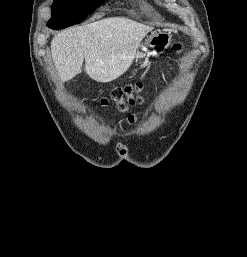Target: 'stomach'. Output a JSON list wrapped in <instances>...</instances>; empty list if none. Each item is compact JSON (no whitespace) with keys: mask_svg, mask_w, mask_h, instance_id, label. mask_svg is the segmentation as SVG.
I'll list each match as a JSON object with an SVG mask.
<instances>
[{"mask_svg":"<svg viewBox=\"0 0 247 257\" xmlns=\"http://www.w3.org/2000/svg\"><path fill=\"white\" fill-rule=\"evenodd\" d=\"M172 36L166 32L154 33L147 37L140 45V51H137L136 59L143 58L146 55H158L163 53L170 45Z\"/></svg>","mask_w":247,"mask_h":257,"instance_id":"obj_1","label":"stomach"}]
</instances>
